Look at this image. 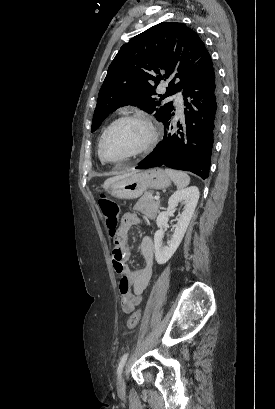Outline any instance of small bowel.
Returning <instances> with one entry per match:
<instances>
[{
	"mask_svg": "<svg viewBox=\"0 0 275 409\" xmlns=\"http://www.w3.org/2000/svg\"><path fill=\"white\" fill-rule=\"evenodd\" d=\"M137 222L138 218L135 215L129 212L123 214L118 228L119 245L112 251L113 268L121 276L119 281L121 307L126 313L132 312L140 303L152 276L154 245L151 237H143L140 243V252L145 264L137 270H131L126 263L131 256L128 233Z\"/></svg>",
	"mask_w": 275,
	"mask_h": 409,
	"instance_id": "obj_1",
	"label": "small bowel"
}]
</instances>
